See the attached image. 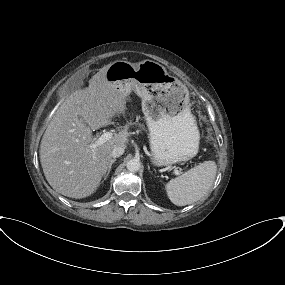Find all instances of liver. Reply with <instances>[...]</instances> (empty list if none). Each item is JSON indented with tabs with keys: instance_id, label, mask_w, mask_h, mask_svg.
I'll return each instance as SVG.
<instances>
[{
	"instance_id": "liver-1",
	"label": "liver",
	"mask_w": 285,
	"mask_h": 285,
	"mask_svg": "<svg viewBox=\"0 0 285 285\" xmlns=\"http://www.w3.org/2000/svg\"><path fill=\"white\" fill-rule=\"evenodd\" d=\"M111 64L92 77L88 88L76 90L60 105L41 140L40 162L46 180L55 191L70 198L82 199L95 193L113 149L126 147L127 131L95 149L91 147L92 131L127 109L129 91L106 80Z\"/></svg>"
}]
</instances>
